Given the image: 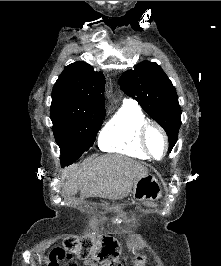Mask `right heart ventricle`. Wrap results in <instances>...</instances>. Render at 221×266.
Returning <instances> with one entry per match:
<instances>
[{
	"instance_id": "1",
	"label": "right heart ventricle",
	"mask_w": 221,
	"mask_h": 266,
	"mask_svg": "<svg viewBox=\"0 0 221 266\" xmlns=\"http://www.w3.org/2000/svg\"><path fill=\"white\" fill-rule=\"evenodd\" d=\"M147 121L137 105L123 104L116 115L105 125L99 137L102 150L148 159L140 142V130Z\"/></svg>"
}]
</instances>
